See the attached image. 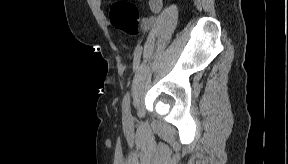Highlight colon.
<instances>
[{
    "instance_id": "5ec220e1",
    "label": "colon",
    "mask_w": 288,
    "mask_h": 164,
    "mask_svg": "<svg viewBox=\"0 0 288 164\" xmlns=\"http://www.w3.org/2000/svg\"><path fill=\"white\" fill-rule=\"evenodd\" d=\"M111 23L131 36L140 29L141 15L136 5L127 0L115 1L109 9Z\"/></svg>"
}]
</instances>
